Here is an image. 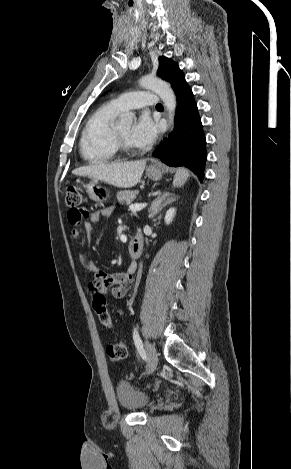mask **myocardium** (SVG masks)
<instances>
[{
  "label": "myocardium",
  "instance_id": "f54148a6",
  "mask_svg": "<svg viewBox=\"0 0 291 469\" xmlns=\"http://www.w3.org/2000/svg\"><path fill=\"white\" fill-rule=\"evenodd\" d=\"M112 135L114 145L119 153L129 154L135 151V149L120 136L117 128H113Z\"/></svg>",
  "mask_w": 291,
  "mask_h": 469
}]
</instances>
